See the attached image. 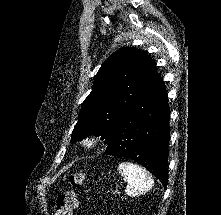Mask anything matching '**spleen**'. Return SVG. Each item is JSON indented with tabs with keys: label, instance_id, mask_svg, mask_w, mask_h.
<instances>
[{
	"label": "spleen",
	"instance_id": "spleen-1",
	"mask_svg": "<svg viewBox=\"0 0 221 215\" xmlns=\"http://www.w3.org/2000/svg\"><path fill=\"white\" fill-rule=\"evenodd\" d=\"M119 173L128 183L126 193L136 196L149 191L154 184L152 177L141 166L132 162H121L118 166Z\"/></svg>",
	"mask_w": 221,
	"mask_h": 215
}]
</instances>
